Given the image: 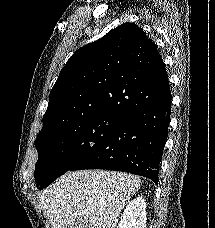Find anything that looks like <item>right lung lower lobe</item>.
Here are the masks:
<instances>
[{
  "label": "right lung lower lobe",
  "instance_id": "1",
  "mask_svg": "<svg viewBox=\"0 0 215 228\" xmlns=\"http://www.w3.org/2000/svg\"><path fill=\"white\" fill-rule=\"evenodd\" d=\"M166 84L169 87L168 77ZM169 93L123 120L69 170L106 169L125 171L158 184L160 162L171 115Z\"/></svg>",
  "mask_w": 215,
  "mask_h": 228
}]
</instances>
